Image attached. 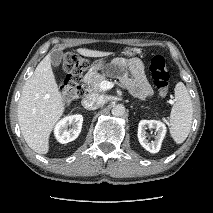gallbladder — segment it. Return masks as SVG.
<instances>
[{
	"label": "gallbladder",
	"mask_w": 213,
	"mask_h": 213,
	"mask_svg": "<svg viewBox=\"0 0 213 213\" xmlns=\"http://www.w3.org/2000/svg\"><path fill=\"white\" fill-rule=\"evenodd\" d=\"M62 58H63V54L61 51L59 50H53L51 51L50 53V61H51V64L57 68L61 61H62Z\"/></svg>",
	"instance_id": "bac80fb5"
}]
</instances>
